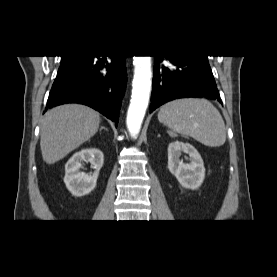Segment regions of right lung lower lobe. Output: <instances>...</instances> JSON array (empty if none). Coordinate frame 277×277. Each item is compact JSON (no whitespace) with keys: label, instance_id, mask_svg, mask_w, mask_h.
Here are the masks:
<instances>
[{"label":"right lung lower lobe","instance_id":"obj_1","mask_svg":"<svg viewBox=\"0 0 277 277\" xmlns=\"http://www.w3.org/2000/svg\"><path fill=\"white\" fill-rule=\"evenodd\" d=\"M86 56L83 61L56 77L47 108L81 103L99 111L117 125L127 75L125 56ZM46 108V109H47Z\"/></svg>","mask_w":277,"mask_h":277}]
</instances>
